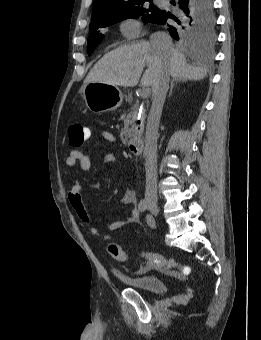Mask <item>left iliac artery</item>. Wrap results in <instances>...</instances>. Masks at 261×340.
Here are the masks:
<instances>
[{"instance_id":"left-iliac-artery-1","label":"left iliac artery","mask_w":261,"mask_h":340,"mask_svg":"<svg viewBox=\"0 0 261 340\" xmlns=\"http://www.w3.org/2000/svg\"><path fill=\"white\" fill-rule=\"evenodd\" d=\"M146 220H147V223L149 224V225H151V223H152V217L150 216V215H147L146 216Z\"/></svg>"}]
</instances>
